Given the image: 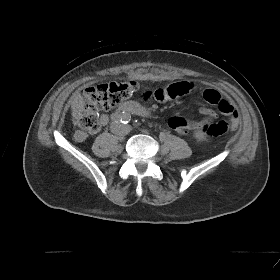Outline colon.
<instances>
[{"mask_svg": "<svg viewBox=\"0 0 280 280\" xmlns=\"http://www.w3.org/2000/svg\"><path fill=\"white\" fill-rule=\"evenodd\" d=\"M137 89L138 84L134 81L107 82L86 88L83 92L85 107L79 120L80 127L91 132L97 131L101 126L99 112L116 107ZM229 127V122L219 121L205 125L204 131L209 136L218 137L225 134Z\"/></svg>", "mask_w": 280, "mask_h": 280, "instance_id": "5ec220e1", "label": "colon"}]
</instances>
